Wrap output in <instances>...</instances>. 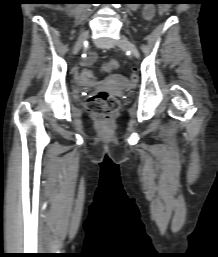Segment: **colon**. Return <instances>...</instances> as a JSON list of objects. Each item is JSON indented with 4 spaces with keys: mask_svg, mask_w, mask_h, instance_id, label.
<instances>
[{
    "mask_svg": "<svg viewBox=\"0 0 218 257\" xmlns=\"http://www.w3.org/2000/svg\"><path fill=\"white\" fill-rule=\"evenodd\" d=\"M172 6L171 2H161L158 6V16H164L167 10H170ZM118 62L110 60L103 64V73L108 75H117ZM80 73V79L78 85H88V87H99V82H96L100 75H96V70H90V67H81L78 69ZM137 81V75L132 74L131 82ZM87 108L89 112L96 117L104 126H108L112 118L118 113L120 108V102L118 98L112 93L100 90L92 94L87 101Z\"/></svg>",
    "mask_w": 218,
    "mask_h": 257,
    "instance_id": "5ec220e1",
    "label": "colon"
}]
</instances>
